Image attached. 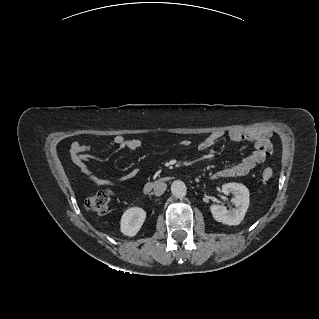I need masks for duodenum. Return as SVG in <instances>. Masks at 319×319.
<instances>
[{
	"instance_id": "410a0bca",
	"label": "duodenum",
	"mask_w": 319,
	"mask_h": 319,
	"mask_svg": "<svg viewBox=\"0 0 319 319\" xmlns=\"http://www.w3.org/2000/svg\"><path fill=\"white\" fill-rule=\"evenodd\" d=\"M163 181H165V179H162L160 181H150V182L146 183L144 186V192L145 193L151 192L152 189L157 185L158 182H163Z\"/></svg>"
}]
</instances>
